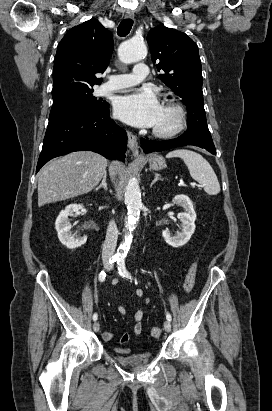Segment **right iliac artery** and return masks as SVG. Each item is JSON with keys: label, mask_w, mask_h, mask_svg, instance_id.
I'll use <instances>...</instances> for the list:
<instances>
[{"label": "right iliac artery", "mask_w": 272, "mask_h": 411, "mask_svg": "<svg viewBox=\"0 0 272 411\" xmlns=\"http://www.w3.org/2000/svg\"><path fill=\"white\" fill-rule=\"evenodd\" d=\"M118 259H119V257L113 256L112 258L109 259V264L114 263V262L117 261ZM105 278H106V273H105V271H101L100 274H99V281H100V282H104V281H105ZM97 318H98V315L95 313V314L93 315V320L96 321Z\"/></svg>", "instance_id": "82829eb1"}]
</instances>
